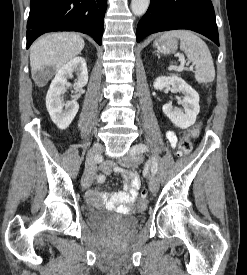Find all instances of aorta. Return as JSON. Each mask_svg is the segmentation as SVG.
I'll use <instances>...</instances> for the list:
<instances>
[{
	"label": "aorta",
	"mask_w": 247,
	"mask_h": 275,
	"mask_svg": "<svg viewBox=\"0 0 247 275\" xmlns=\"http://www.w3.org/2000/svg\"><path fill=\"white\" fill-rule=\"evenodd\" d=\"M150 0H131V10L134 15L142 16L147 11Z\"/></svg>",
	"instance_id": "1"
}]
</instances>
